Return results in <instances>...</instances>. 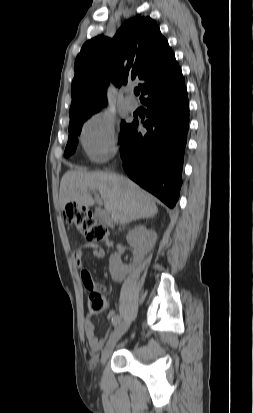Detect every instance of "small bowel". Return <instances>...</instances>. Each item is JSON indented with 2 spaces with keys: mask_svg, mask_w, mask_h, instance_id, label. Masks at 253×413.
Masks as SVG:
<instances>
[{
  "mask_svg": "<svg viewBox=\"0 0 253 413\" xmlns=\"http://www.w3.org/2000/svg\"><path fill=\"white\" fill-rule=\"evenodd\" d=\"M90 250L93 256L97 259H103L105 257V251L102 247L97 244L85 242L79 245L73 252L72 259L74 264L81 270V279L83 284L88 287L93 284V278L88 270L84 268L83 264V251ZM117 318L115 312H110L109 320L110 323L114 325L115 319ZM84 331L85 337L92 351L98 352L102 349L105 344V339H99L95 334V326L92 321L90 314H87L84 319Z\"/></svg>",
  "mask_w": 253,
  "mask_h": 413,
  "instance_id": "obj_1",
  "label": "small bowel"
}]
</instances>
